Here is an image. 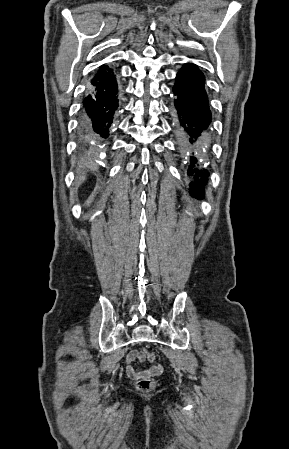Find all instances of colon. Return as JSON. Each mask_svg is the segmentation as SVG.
Wrapping results in <instances>:
<instances>
[{"label":"colon","mask_w":289,"mask_h":449,"mask_svg":"<svg viewBox=\"0 0 289 449\" xmlns=\"http://www.w3.org/2000/svg\"><path fill=\"white\" fill-rule=\"evenodd\" d=\"M145 357L150 362H153L156 358L155 353L150 351H145ZM154 384V379L151 376L142 377L136 381L137 388L142 391L151 390L154 387Z\"/></svg>","instance_id":"colon-1"}]
</instances>
